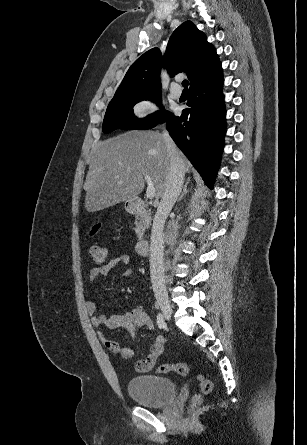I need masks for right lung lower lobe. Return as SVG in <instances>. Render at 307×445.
I'll list each match as a JSON object with an SVG mask.
<instances>
[{"label":"right lung lower lobe","instance_id":"1","mask_svg":"<svg viewBox=\"0 0 307 445\" xmlns=\"http://www.w3.org/2000/svg\"><path fill=\"white\" fill-rule=\"evenodd\" d=\"M222 86L219 64L190 85L187 105L191 108L180 117L171 113L162 121L210 188L219 168L226 128Z\"/></svg>","mask_w":307,"mask_h":445}]
</instances>
